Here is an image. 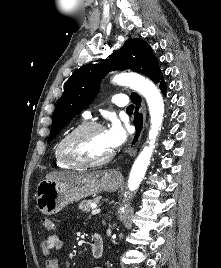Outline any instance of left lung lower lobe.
I'll use <instances>...</instances> for the list:
<instances>
[{
    "label": "left lung lower lobe",
    "instance_id": "1",
    "mask_svg": "<svg viewBox=\"0 0 221 268\" xmlns=\"http://www.w3.org/2000/svg\"><path fill=\"white\" fill-rule=\"evenodd\" d=\"M161 91L163 92V94L166 93V85H165V82L164 80L162 79V81L160 82V85H159ZM131 101L136 104V111H135V117H134V124L136 126V130H137V135L135 136V140L136 141V138L138 137V135L140 134V130L142 128V115L138 113V109H139V106H140V97L138 95H135L133 97H131Z\"/></svg>",
    "mask_w": 221,
    "mask_h": 268
}]
</instances>
